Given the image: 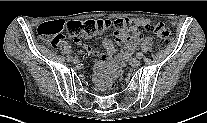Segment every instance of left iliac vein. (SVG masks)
Listing matches in <instances>:
<instances>
[{
  "mask_svg": "<svg viewBox=\"0 0 207 123\" xmlns=\"http://www.w3.org/2000/svg\"><path fill=\"white\" fill-rule=\"evenodd\" d=\"M139 65H140V61H139L138 59H134V60L132 61V66H133L134 68L138 67Z\"/></svg>",
  "mask_w": 207,
  "mask_h": 123,
  "instance_id": "obj_1",
  "label": "left iliac vein"
}]
</instances>
